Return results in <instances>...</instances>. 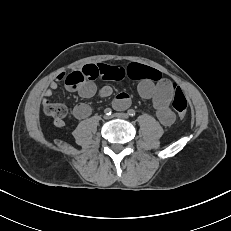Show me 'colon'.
I'll use <instances>...</instances> for the list:
<instances>
[{
    "label": "colon",
    "mask_w": 231,
    "mask_h": 231,
    "mask_svg": "<svg viewBox=\"0 0 231 231\" xmlns=\"http://www.w3.org/2000/svg\"><path fill=\"white\" fill-rule=\"evenodd\" d=\"M146 73L154 81L161 79V74L155 69L147 68ZM83 82L84 77L79 71L72 72L65 78V86L69 90L78 89ZM172 106L179 118L183 119L186 116L188 102L182 90L177 86H174ZM43 109L46 114L53 116L57 120H62L67 115L66 107L61 104L43 103Z\"/></svg>",
    "instance_id": "obj_1"
}]
</instances>
